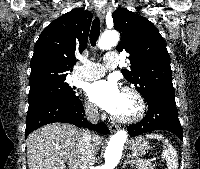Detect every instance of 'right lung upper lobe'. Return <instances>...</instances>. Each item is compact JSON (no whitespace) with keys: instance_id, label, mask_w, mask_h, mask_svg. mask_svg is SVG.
Here are the masks:
<instances>
[{"instance_id":"right-lung-upper-lobe-1","label":"right lung upper lobe","mask_w":200,"mask_h":169,"mask_svg":"<svg viewBox=\"0 0 200 169\" xmlns=\"http://www.w3.org/2000/svg\"><path fill=\"white\" fill-rule=\"evenodd\" d=\"M91 20V12L76 8L44 29L30 63V86L45 80L66 79L76 64L75 53H81L87 45Z\"/></svg>"}]
</instances>
